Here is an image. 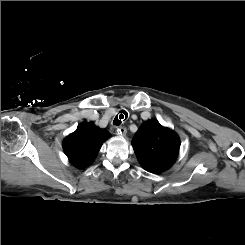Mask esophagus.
<instances>
[{"instance_id": "esophagus-1", "label": "esophagus", "mask_w": 245, "mask_h": 245, "mask_svg": "<svg viewBox=\"0 0 245 245\" xmlns=\"http://www.w3.org/2000/svg\"><path fill=\"white\" fill-rule=\"evenodd\" d=\"M116 132L119 136L125 137L127 133V129L125 127H119L117 128Z\"/></svg>"}]
</instances>
